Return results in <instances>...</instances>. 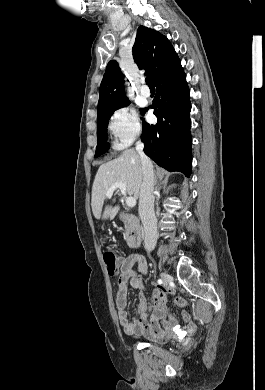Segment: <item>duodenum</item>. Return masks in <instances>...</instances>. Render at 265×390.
<instances>
[{
    "label": "duodenum",
    "mask_w": 265,
    "mask_h": 390,
    "mask_svg": "<svg viewBox=\"0 0 265 390\" xmlns=\"http://www.w3.org/2000/svg\"><path fill=\"white\" fill-rule=\"evenodd\" d=\"M120 220L127 228L126 242L129 248H137L142 243V234L139 229V223L136 216L129 213H121Z\"/></svg>",
    "instance_id": "410a0bca"
}]
</instances>
